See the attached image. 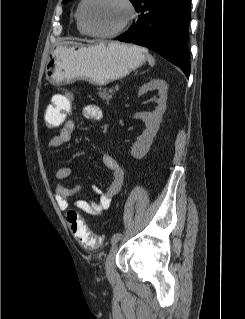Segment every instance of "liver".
<instances>
[{"mask_svg":"<svg viewBox=\"0 0 245 319\" xmlns=\"http://www.w3.org/2000/svg\"><path fill=\"white\" fill-rule=\"evenodd\" d=\"M64 44H77V43H73V42H65Z\"/></svg>","mask_w":245,"mask_h":319,"instance_id":"1","label":"liver"}]
</instances>
